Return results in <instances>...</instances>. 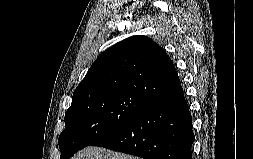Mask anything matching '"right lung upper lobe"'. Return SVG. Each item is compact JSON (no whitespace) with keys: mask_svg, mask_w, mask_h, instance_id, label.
<instances>
[{"mask_svg":"<svg viewBox=\"0 0 253 159\" xmlns=\"http://www.w3.org/2000/svg\"><path fill=\"white\" fill-rule=\"evenodd\" d=\"M182 89L173 62L146 36H132L104 51L73 93L72 101L130 94L151 102Z\"/></svg>","mask_w":253,"mask_h":159,"instance_id":"cb5924a9","label":"right lung upper lobe"}]
</instances>
